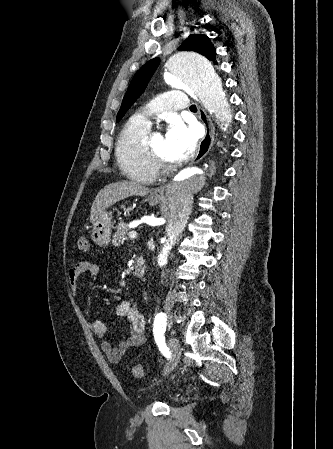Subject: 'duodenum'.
<instances>
[{
    "label": "duodenum",
    "mask_w": 333,
    "mask_h": 449,
    "mask_svg": "<svg viewBox=\"0 0 333 449\" xmlns=\"http://www.w3.org/2000/svg\"><path fill=\"white\" fill-rule=\"evenodd\" d=\"M134 274L138 277H142L146 272V262L142 257H138L135 259L133 264Z\"/></svg>",
    "instance_id": "1"
}]
</instances>
